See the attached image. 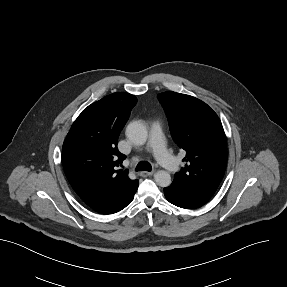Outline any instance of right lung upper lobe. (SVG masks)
I'll list each match as a JSON object with an SVG mask.
<instances>
[{
    "instance_id": "1",
    "label": "right lung upper lobe",
    "mask_w": 287,
    "mask_h": 287,
    "mask_svg": "<svg viewBox=\"0 0 287 287\" xmlns=\"http://www.w3.org/2000/svg\"><path fill=\"white\" fill-rule=\"evenodd\" d=\"M136 97L125 92L108 95L85 108L74 121L62 148L65 175L81 199L114 188H125L128 171L115 170L125 159L117 150Z\"/></svg>"
}]
</instances>
